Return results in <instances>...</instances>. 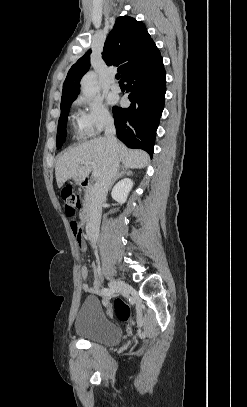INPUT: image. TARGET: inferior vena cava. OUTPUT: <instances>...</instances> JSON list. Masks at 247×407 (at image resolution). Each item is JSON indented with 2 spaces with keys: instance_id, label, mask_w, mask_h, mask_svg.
I'll return each mask as SVG.
<instances>
[{
  "instance_id": "obj_1",
  "label": "inferior vena cava",
  "mask_w": 247,
  "mask_h": 407,
  "mask_svg": "<svg viewBox=\"0 0 247 407\" xmlns=\"http://www.w3.org/2000/svg\"><path fill=\"white\" fill-rule=\"evenodd\" d=\"M116 130L113 121H108L105 128V139L110 147V153L106 168L96 181L91 195L89 205V221L86 226L88 237L92 246H95L99 235L102 202L105 200L111 183L118 171L119 160L116 153L117 140L115 138Z\"/></svg>"
}]
</instances>
